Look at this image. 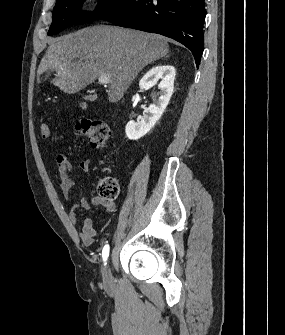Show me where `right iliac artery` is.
<instances>
[{
    "label": "right iliac artery",
    "instance_id": "82829eb1",
    "mask_svg": "<svg viewBox=\"0 0 285 335\" xmlns=\"http://www.w3.org/2000/svg\"><path fill=\"white\" fill-rule=\"evenodd\" d=\"M108 256H109V245H105L102 250V257H103V261L105 262V264H106V260Z\"/></svg>",
    "mask_w": 285,
    "mask_h": 335
}]
</instances>
